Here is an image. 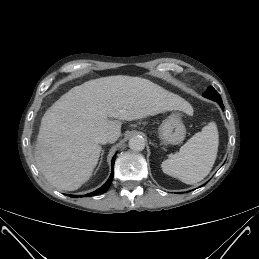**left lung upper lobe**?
I'll list each match as a JSON object with an SVG mask.
<instances>
[{
    "label": "left lung upper lobe",
    "instance_id": "obj_1",
    "mask_svg": "<svg viewBox=\"0 0 259 259\" xmlns=\"http://www.w3.org/2000/svg\"><path fill=\"white\" fill-rule=\"evenodd\" d=\"M204 97L216 102L222 100L219 93L213 87L208 88V90L204 93Z\"/></svg>",
    "mask_w": 259,
    "mask_h": 259
}]
</instances>
